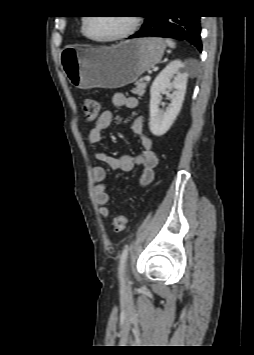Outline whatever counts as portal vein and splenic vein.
Returning a JSON list of instances; mask_svg holds the SVG:
<instances>
[{
  "label": "portal vein and splenic vein",
  "instance_id": "18ae733b",
  "mask_svg": "<svg viewBox=\"0 0 254 355\" xmlns=\"http://www.w3.org/2000/svg\"><path fill=\"white\" fill-rule=\"evenodd\" d=\"M144 79H145L146 81H150L151 78H150V76H145Z\"/></svg>",
  "mask_w": 254,
  "mask_h": 355
}]
</instances>
